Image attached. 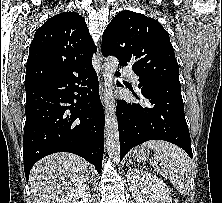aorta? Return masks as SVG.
<instances>
[{
  "mask_svg": "<svg viewBox=\"0 0 222 203\" xmlns=\"http://www.w3.org/2000/svg\"><path fill=\"white\" fill-rule=\"evenodd\" d=\"M118 59L109 56L104 63V87H105V138L109 158L114 163L120 160V142L116 106L113 94V81L118 68Z\"/></svg>",
  "mask_w": 222,
  "mask_h": 203,
  "instance_id": "aorta-1",
  "label": "aorta"
}]
</instances>
